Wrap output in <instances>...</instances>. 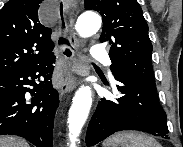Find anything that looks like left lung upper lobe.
Returning <instances> with one entry per match:
<instances>
[{
  "instance_id": "5c2ea615",
  "label": "left lung upper lobe",
  "mask_w": 183,
  "mask_h": 147,
  "mask_svg": "<svg viewBox=\"0 0 183 147\" xmlns=\"http://www.w3.org/2000/svg\"><path fill=\"white\" fill-rule=\"evenodd\" d=\"M85 8L98 11L102 16L100 41L111 45L113 74L127 71L155 80L148 25L137 0H85Z\"/></svg>"
}]
</instances>
